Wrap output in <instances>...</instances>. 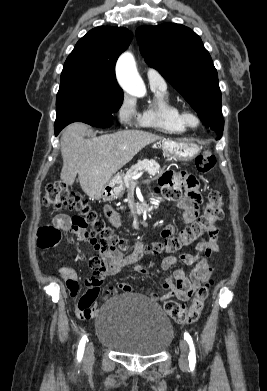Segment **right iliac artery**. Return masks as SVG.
<instances>
[{
    "label": "right iliac artery",
    "instance_id": "82829eb1",
    "mask_svg": "<svg viewBox=\"0 0 267 391\" xmlns=\"http://www.w3.org/2000/svg\"><path fill=\"white\" fill-rule=\"evenodd\" d=\"M86 340H87V337L84 336L80 343H79V346H78V353H77V359L80 361L83 357V352H84V348H85V343H86Z\"/></svg>",
    "mask_w": 267,
    "mask_h": 391
}]
</instances>
